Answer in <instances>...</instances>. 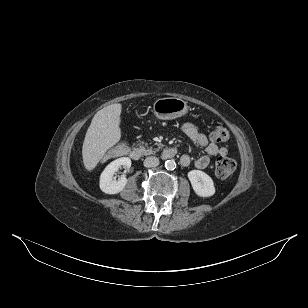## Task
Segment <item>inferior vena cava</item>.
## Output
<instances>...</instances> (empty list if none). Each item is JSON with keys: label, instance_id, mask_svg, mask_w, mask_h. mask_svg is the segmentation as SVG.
<instances>
[{"label": "inferior vena cava", "instance_id": "inferior-vena-cava-1", "mask_svg": "<svg viewBox=\"0 0 308 308\" xmlns=\"http://www.w3.org/2000/svg\"><path fill=\"white\" fill-rule=\"evenodd\" d=\"M158 165H159V159L157 157L150 156L144 160V166L147 168L156 167Z\"/></svg>", "mask_w": 308, "mask_h": 308}]
</instances>
